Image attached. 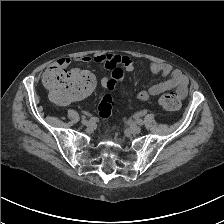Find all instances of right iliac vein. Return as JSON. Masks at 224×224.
<instances>
[{
  "mask_svg": "<svg viewBox=\"0 0 224 224\" xmlns=\"http://www.w3.org/2000/svg\"><path fill=\"white\" fill-rule=\"evenodd\" d=\"M82 124L85 125V126H88V127L92 126V123L88 120H83Z\"/></svg>",
  "mask_w": 224,
  "mask_h": 224,
  "instance_id": "obj_1",
  "label": "right iliac vein"
}]
</instances>
